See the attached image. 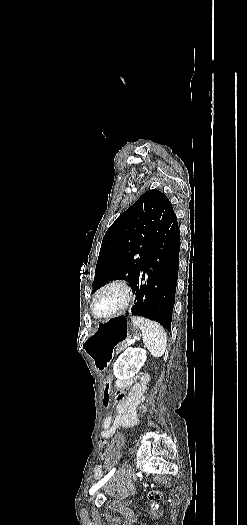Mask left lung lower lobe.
<instances>
[{
    "instance_id": "0a47b994",
    "label": "left lung lower lobe",
    "mask_w": 247,
    "mask_h": 525,
    "mask_svg": "<svg viewBox=\"0 0 247 525\" xmlns=\"http://www.w3.org/2000/svg\"><path fill=\"white\" fill-rule=\"evenodd\" d=\"M180 231L174 214L151 241L147 260L132 283V315L159 322L171 330L179 268Z\"/></svg>"
}]
</instances>
